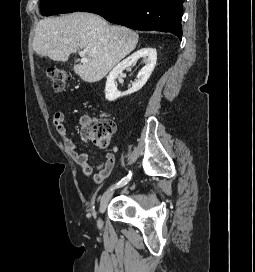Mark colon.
<instances>
[{
  "instance_id": "5ec220e1",
  "label": "colon",
  "mask_w": 255,
  "mask_h": 272,
  "mask_svg": "<svg viewBox=\"0 0 255 272\" xmlns=\"http://www.w3.org/2000/svg\"><path fill=\"white\" fill-rule=\"evenodd\" d=\"M52 83L54 92H62L70 80V73L62 68H50L46 73ZM116 130V124L111 118H99L84 121L81 135L99 148H107Z\"/></svg>"
}]
</instances>
